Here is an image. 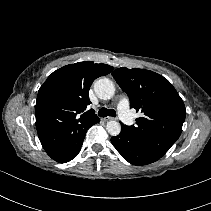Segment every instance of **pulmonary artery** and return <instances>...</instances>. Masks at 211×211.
I'll return each mask as SVG.
<instances>
[{
  "mask_svg": "<svg viewBox=\"0 0 211 211\" xmlns=\"http://www.w3.org/2000/svg\"><path fill=\"white\" fill-rule=\"evenodd\" d=\"M118 114L121 120L127 124L131 125L134 123V118L131 114L130 107H129V100L127 97H122L118 104H117Z\"/></svg>",
  "mask_w": 211,
  "mask_h": 211,
  "instance_id": "obj_1",
  "label": "pulmonary artery"
}]
</instances>
